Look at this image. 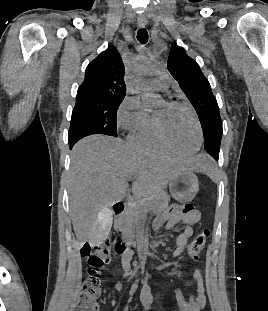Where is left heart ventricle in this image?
I'll use <instances>...</instances> for the list:
<instances>
[{
	"mask_svg": "<svg viewBox=\"0 0 268 311\" xmlns=\"http://www.w3.org/2000/svg\"><path fill=\"white\" fill-rule=\"evenodd\" d=\"M168 140L179 150L190 152L198 143V131L191 114L163 103L156 111Z\"/></svg>",
	"mask_w": 268,
	"mask_h": 311,
	"instance_id": "b2bd125f",
	"label": "left heart ventricle"
}]
</instances>
